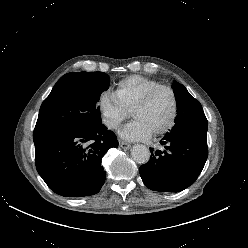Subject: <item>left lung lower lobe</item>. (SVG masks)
I'll list each match as a JSON object with an SVG mask.
<instances>
[{
	"mask_svg": "<svg viewBox=\"0 0 248 248\" xmlns=\"http://www.w3.org/2000/svg\"><path fill=\"white\" fill-rule=\"evenodd\" d=\"M206 133L189 129L168 133L161 141L165 150L151 153L140 167L143 183L159 192H180L193 184L208 157Z\"/></svg>",
	"mask_w": 248,
	"mask_h": 248,
	"instance_id": "1",
	"label": "left lung lower lobe"
}]
</instances>
